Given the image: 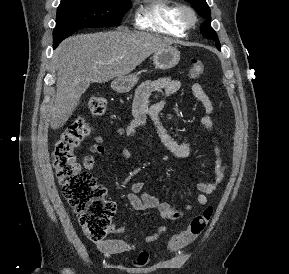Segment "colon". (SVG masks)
I'll return each instance as SVG.
<instances>
[{"label":"colon","mask_w":289,"mask_h":274,"mask_svg":"<svg viewBox=\"0 0 289 274\" xmlns=\"http://www.w3.org/2000/svg\"><path fill=\"white\" fill-rule=\"evenodd\" d=\"M204 72V64L193 59L189 67L192 78ZM88 111L94 116H101L106 110V100L98 95H91L85 102ZM91 126L82 116L76 117L60 134L53 149V165L63 196L76 212L85 235L92 241L100 242L111 230V219L115 204L106 198V189L95 178L84 171L77 161L75 149L89 135ZM213 215V208L207 207L195 216L188 227L175 235L169 242L172 252L191 244L208 226ZM148 260V254L142 252L136 259L140 265Z\"/></svg>","instance_id":"colon-1"}]
</instances>
